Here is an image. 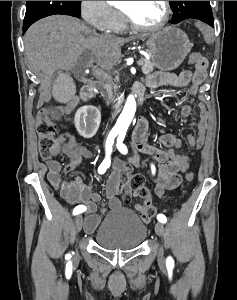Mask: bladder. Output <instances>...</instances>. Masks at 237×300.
I'll return each mask as SVG.
<instances>
[{
    "instance_id": "1",
    "label": "bladder",
    "mask_w": 237,
    "mask_h": 300,
    "mask_svg": "<svg viewBox=\"0 0 237 300\" xmlns=\"http://www.w3.org/2000/svg\"><path fill=\"white\" fill-rule=\"evenodd\" d=\"M147 236V226L131 210L107 217L93 234L95 242L107 250H132L139 247Z\"/></svg>"
}]
</instances>
